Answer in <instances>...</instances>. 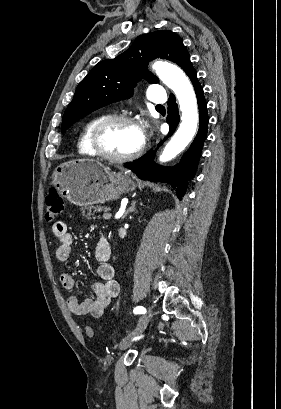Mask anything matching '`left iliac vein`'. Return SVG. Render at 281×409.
Here are the masks:
<instances>
[{
    "label": "left iliac vein",
    "instance_id": "4c4485c4",
    "mask_svg": "<svg viewBox=\"0 0 281 409\" xmlns=\"http://www.w3.org/2000/svg\"><path fill=\"white\" fill-rule=\"evenodd\" d=\"M149 319H150V315H143V316L140 318L139 323H138L136 329H135L131 334H129V335L120 343L119 349H120L121 351L126 350L127 348H129V347L133 344L135 338L138 337V335H140V334L146 329V327H147V325H148V322H149Z\"/></svg>",
    "mask_w": 281,
    "mask_h": 409
}]
</instances>
